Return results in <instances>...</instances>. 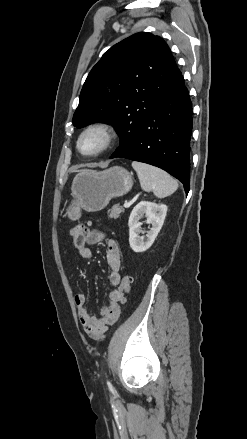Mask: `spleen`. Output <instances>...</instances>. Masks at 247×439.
Here are the masks:
<instances>
[{
  "label": "spleen",
  "instance_id": "3e777b00",
  "mask_svg": "<svg viewBox=\"0 0 247 439\" xmlns=\"http://www.w3.org/2000/svg\"><path fill=\"white\" fill-rule=\"evenodd\" d=\"M132 167L136 171L141 188L153 191L158 198L173 194L178 189V183L167 172L152 165L133 161Z\"/></svg>",
  "mask_w": 247,
  "mask_h": 439
}]
</instances>
